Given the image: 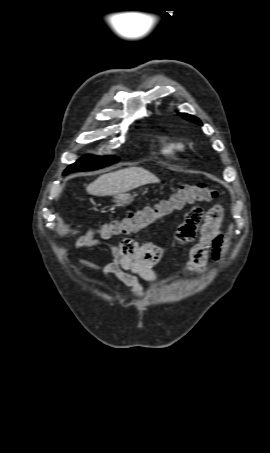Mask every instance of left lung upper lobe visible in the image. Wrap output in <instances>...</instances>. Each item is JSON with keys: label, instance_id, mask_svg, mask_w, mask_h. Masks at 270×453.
<instances>
[{"label": "left lung upper lobe", "instance_id": "1", "mask_svg": "<svg viewBox=\"0 0 270 453\" xmlns=\"http://www.w3.org/2000/svg\"><path fill=\"white\" fill-rule=\"evenodd\" d=\"M182 117H184L185 119L187 120H190V121H193L199 125H202L201 121L195 117V116H192V115H189V114H186V113H179Z\"/></svg>", "mask_w": 270, "mask_h": 453}]
</instances>
